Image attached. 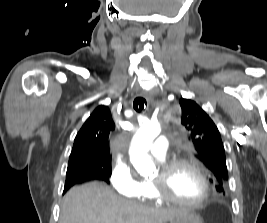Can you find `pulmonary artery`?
<instances>
[{"mask_svg":"<svg viewBox=\"0 0 267 223\" xmlns=\"http://www.w3.org/2000/svg\"><path fill=\"white\" fill-rule=\"evenodd\" d=\"M167 151L168 140L163 136L156 138L154 144L149 149V153L159 159H164L166 157Z\"/></svg>","mask_w":267,"mask_h":223,"instance_id":"obj_1","label":"pulmonary artery"}]
</instances>
